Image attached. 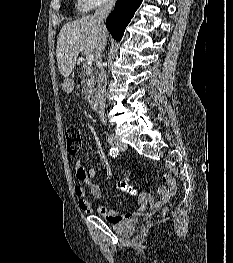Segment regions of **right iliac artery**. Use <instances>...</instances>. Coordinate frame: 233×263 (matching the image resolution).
I'll return each instance as SVG.
<instances>
[{
  "label": "right iliac artery",
  "instance_id": "1",
  "mask_svg": "<svg viewBox=\"0 0 233 263\" xmlns=\"http://www.w3.org/2000/svg\"><path fill=\"white\" fill-rule=\"evenodd\" d=\"M109 153L112 157H117L119 155V150H118V148L113 147L110 149Z\"/></svg>",
  "mask_w": 233,
  "mask_h": 263
}]
</instances>
